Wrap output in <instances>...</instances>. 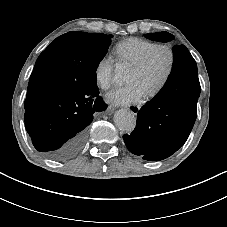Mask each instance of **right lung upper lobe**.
Returning a JSON list of instances; mask_svg holds the SVG:
<instances>
[{"label":"right lung upper lobe","instance_id":"obj_1","mask_svg":"<svg viewBox=\"0 0 227 227\" xmlns=\"http://www.w3.org/2000/svg\"><path fill=\"white\" fill-rule=\"evenodd\" d=\"M60 88V77L45 70H42L37 66H34V70L31 74L28 84L27 96L25 100V109L29 108L35 101H37L47 92Z\"/></svg>","mask_w":227,"mask_h":227}]
</instances>
